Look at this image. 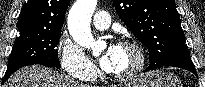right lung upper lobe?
Returning <instances> with one entry per match:
<instances>
[{"mask_svg":"<svg viewBox=\"0 0 205 87\" xmlns=\"http://www.w3.org/2000/svg\"><path fill=\"white\" fill-rule=\"evenodd\" d=\"M70 0H28L21 9L18 30H61Z\"/></svg>","mask_w":205,"mask_h":87,"instance_id":"cb5924a9","label":"right lung upper lobe"}]
</instances>
